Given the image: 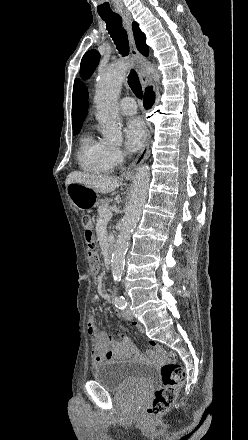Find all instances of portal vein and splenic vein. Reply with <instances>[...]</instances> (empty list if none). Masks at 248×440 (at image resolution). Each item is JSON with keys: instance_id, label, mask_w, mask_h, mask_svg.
<instances>
[{"instance_id": "obj_1", "label": "portal vein and splenic vein", "mask_w": 248, "mask_h": 440, "mask_svg": "<svg viewBox=\"0 0 248 440\" xmlns=\"http://www.w3.org/2000/svg\"><path fill=\"white\" fill-rule=\"evenodd\" d=\"M113 216V213L109 209H103L100 214V219L109 221Z\"/></svg>"}]
</instances>
